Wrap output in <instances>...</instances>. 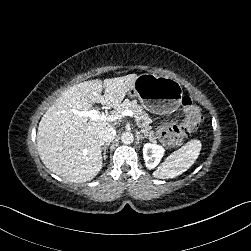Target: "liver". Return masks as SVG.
I'll list each match as a JSON object with an SVG mask.
<instances>
[{"instance_id": "liver-1", "label": "liver", "mask_w": 251, "mask_h": 251, "mask_svg": "<svg viewBox=\"0 0 251 251\" xmlns=\"http://www.w3.org/2000/svg\"><path fill=\"white\" fill-rule=\"evenodd\" d=\"M136 78V74H128L103 81H84L66 90L46 111L38 126L37 150L51 172L74 183L90 181L99 173L102 168L99 133L110 124L79 117L71 109L89 111L94 103L115 107Z\"/></svg>"}]
</instances>
